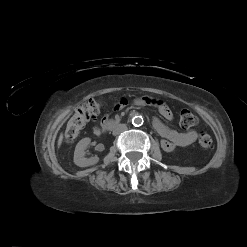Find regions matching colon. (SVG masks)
I'll return each mask as SVG.
<instances>
[{
  "label": "colon",
  "instance_id": "colon-1",
  "mask_svg": "<svg viewBox=\"0 0 247 247\" xmlns=\"http://www.w3.org/2000/svg\"><path fill=\"white\" fill-rule=\"evenodd\" d=\"M103 104L100 101L91 99L79 106L67 123L65 130V140L69 143L74 142L86 124L93 120L102 110ZM198 123L197 116L189 109L180 112V124L184 128H191ZM198 144L201 149L209 150L213 145V138L208 133L199 135Z\"/></svg>",
  "mask_w": 247,
  "mask_h": 247
}]
</instances>
